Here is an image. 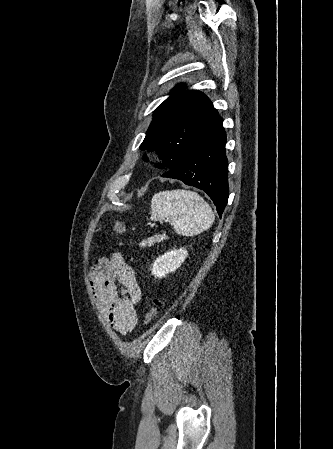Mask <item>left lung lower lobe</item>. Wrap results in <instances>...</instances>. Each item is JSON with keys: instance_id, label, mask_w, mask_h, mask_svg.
<instances>
[{"instance_id": "0a47b994", "label": "left lung lower lobe", "mask_w": 333, "mask_h": 449, "mask_svg": "<svg viewBox=\"0 0 333 449\" xmlns=\"http://www.w3.org/2000/svg\"><path fill=\"white\" fill-rule=\"evenodd\" d=\"M223 119L214 108L199 129L183 163L162 177L179 179L203 190L221 217L228 200V160Z\"/></svg>"}]
</instances>
